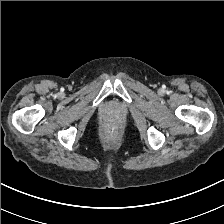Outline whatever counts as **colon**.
I'll return each instance as SVG.
<instances>
[{"label": "colon", "mask_w": 224, "mask_h": 224, "mask_svg": "<svg viewBox=\"0 0 224 224\" xmlns=\"http://www.w3.org/2000/svg\"><path fill=\"white\" fill-rule=\"evenodd\" d=\"M122 132V127L117 122H112L109 124L106 134L109 137H114Z\"/></svg>", "instance_id": "obj_1"}]
</instances>
